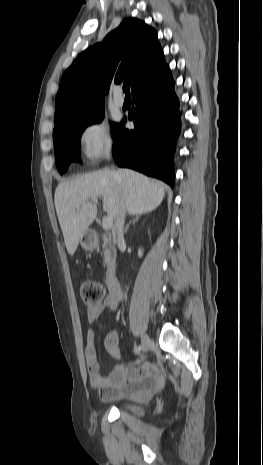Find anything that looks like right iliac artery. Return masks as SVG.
Here are the masks:
<instances>
[{
	"mask_svg": "<svg viewBox=\"0 0 263 465\" xmlns=\"http://www.w3.org/2000/svg\"><path fill=\"white\" fill-rule=\"evenodd\" d=\"M141 349H142L141 346H137V347L135 348V352H136V353H139V352L141 351Z\"/></svg>",
	"mask_w": 263,
	"mask_h": 465,
	"instance_id": "obj_1",
	"label": "right iliac artery"
}]
</instances>
